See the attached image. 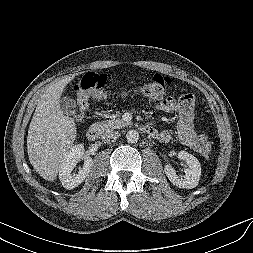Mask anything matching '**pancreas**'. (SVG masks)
Returning <instances> with one entry per match:
<instances>
[{
    "label": "pancreas",
    "mask_w": 253,
    "mask_h": 253,
    "mask_svg": "<svg viewBox=\"0 0 253 253\" xmlns=\"http://www.w3.org/2000/svg\"><path fill=\"white\" fill-rule=\"evenodd\" d=\"M96 125L99 127L101 134H106L108 132L113 131L114 129H119L124 126H127V125H129V123L124 122L120 118H112L109 120L98 122Z\"/></svg>",
    "instance_id": "cf45deb5"
}]
</instances>
